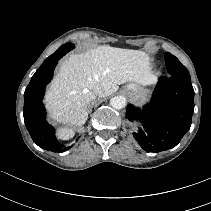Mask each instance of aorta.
<instances>
[{
	"mask_svg": "<svg viewBox=\"0 0 211 211\" xmlns=\"http://www.w3.org/2000/svg\"><path fill=\"white\" fill-rule=\"evenodd\" d=\"M110 105L119 110L126 106V100L122 96H115L110 99Z\"/></svg>",
	"mask_w": 211,
	"mask_h": 211,
	"instance_id": "obj_1",
	"label": "aorta"
}]
</instances>
